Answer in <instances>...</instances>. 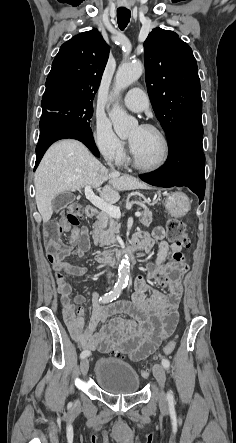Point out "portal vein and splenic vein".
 Returning a JSON list of instances; mask_svg holds the SVG:
<instances>
[{"mask_svg": "<svg viewBox=\"0 0 236 443\" xmlns=\"http://www.w3.org/2000/svg\"><path fill=\"white\" fill-rule=\"evenodd\" d=\"M85 196L86 198L98 209H100L102 212L107 213L113 218L120 219L121 218V212L120 209L116 206H113L111 204H108L103 199L99 198L94 194L92 191L91 186H85ZM136 217H140L141 213L136 212Z\"/></svg>", "mask_w": 236, "mask_h": 443, "instance_id": "portal-vein-and-splenic-vein-1", "label": "portal vein and splenic vein"}]
</instances>
